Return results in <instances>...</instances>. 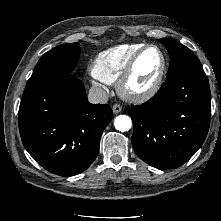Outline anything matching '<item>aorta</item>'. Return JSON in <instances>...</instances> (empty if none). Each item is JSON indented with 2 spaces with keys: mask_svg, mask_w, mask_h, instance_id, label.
<instances>
[{
  "mask_svg": "<svg viewBox=\"0 0 221 221\" xmlns=\"http://www.w3.org/2000/svg\"><path fill=\"white\" fill-rule=\"evenodd\" d=\"M114 126L117 130L125 132L131 129L132 120L127 115H119L114 120Z\"/></svg>",
  "mask_w": 221,
  "mask_h": 221,
  "instance_id": "762f6f07",
  "label": "aorta"
}]
</instances>
